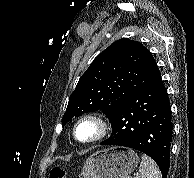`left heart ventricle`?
<instances>
[{"mask_svg":"<svg viewBox=\"0 0 194 178\" xmlns=\"http://www.w3.org/2000/svg\"><path fill=\"white\" fill-rule=\"evenodd\" d=\"M96 134V126L92 122H85L77 129V137L82 141L91 139Z\"/></svg>","mask_w":194,"mask_h":178,"instance_id":"b2bd125f","label":"left heart ventricle"}]
</instances>
